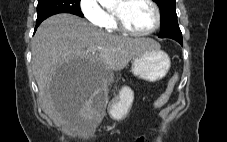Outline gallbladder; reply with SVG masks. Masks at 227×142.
Returning <instances> with one entry per match:
<instances>
[{"label":"gallbladder","mask_w":227,"mask_h":142,"mask_svg":"<svg viewBox=\"0 0 227 142\" xmlns=\"http://www.w3.org/2000/svg\"><path fill=\"white\" fill-rule=\"evenodd\" d=\"M108 98L105 93H96L91 104V109L95 113H104L107 108Z\"/></svg>","instance_id":"bac80fb5"}]
</instances>
